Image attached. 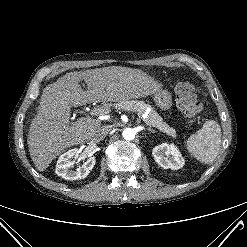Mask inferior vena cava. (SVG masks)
<instances>
[{"label":"inferior vena cava","instance_id":"602c4592","mask_svg":"<svg viewBox=\"0 0 247 247\" xmlns=\"http://www.w3.org/2000/svg\"><path fill=\"white\" fill-rule=\"evenodd\" d=\"M108 133V129L105 126L99 127L93 130L90 134V138L95 142L102 141Z\"/></svg>","mask_w":247,"mask_h":247}]
</instances>
